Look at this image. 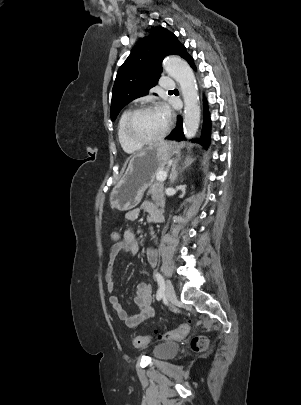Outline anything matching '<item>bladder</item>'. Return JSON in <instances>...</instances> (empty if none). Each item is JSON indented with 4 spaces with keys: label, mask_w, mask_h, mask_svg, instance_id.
<instances>
[{
    "label": "bladder",
    "mask_w": 301,
    "mask_h": 405,
    "mask_svg": "<svg viewBox=\"0 0 301 405\" xmlns=\"http://www.w3.org/2000/svg\"><path fill=\"white\" fill-rule=\"evenodd\" d=\"M178 349L175 343H160L154 347L153 353L156 358L167 359L173 356Z\"/></svg>",
    "instance_id": "31cf9c89"
}]
</instances>
